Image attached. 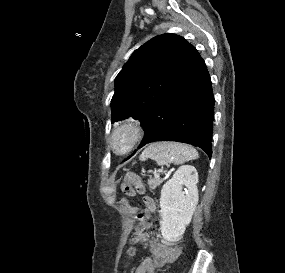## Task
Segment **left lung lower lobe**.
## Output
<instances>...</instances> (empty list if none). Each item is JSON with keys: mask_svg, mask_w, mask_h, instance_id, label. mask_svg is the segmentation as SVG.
I'll return each instance as SVG.
<instances>
[{"mask_svg": "<svg viewBox=\"0 0 285 273\" xmlns=\"http://www.w3.org/2000/svg\"><path fill=\"white\" fill-rule=\"evenodd\" d=\"M213 119L211 79L204 60L192 46L175 83L140 121L145 136L139 148L155 141H177L198 146L211 158Z\"/></svg>", "mask_w": 285, "mask_h": 273, "instance_id": "obj_1", "label": "left lung lower lobe"}]
</instances>
